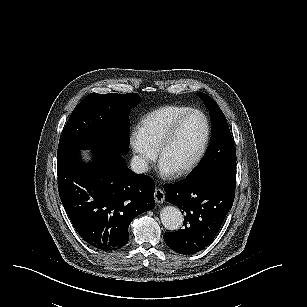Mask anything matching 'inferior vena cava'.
Here are the masks:
<instances>
[{"mask_svg": "<svg viewBox=\"0 0 307 307\" xmlns=\"http://www.w3.org/2000/svg\"><path fill=\"white\" fill-rule=\"evenodd\" d=\"M131 170L136 174H143L149 170V164L145 157L134 155L131 159Z\"/></svg>", "mask_w": 307, "mask_h": 307, "instance_id": "inferior-vena-cava-1", "label": "inferior vena cava"}]
</instances>
